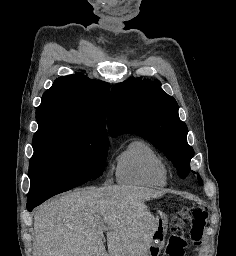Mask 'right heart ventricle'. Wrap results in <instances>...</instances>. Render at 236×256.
I'll return each mask as SVG.
<instances>
[{
  "mask_svg": "<svg viewBox=\"0 0 236 256\" xmlns=\"http://www.w3.org/2000/svg\"><path fill=\"white\" fill-rule=\"evenodd\" d=\"M117 178L125 185L160 188L169 182V169L164 158L146 142L135 140L119 157Z\"/></svg>",
  "mask_w": 236,
  "mask_h": 256,
  "instance_id": "right-heart-ventricle-1",
  "label": "right heart ventricle"
}]
</instances>
